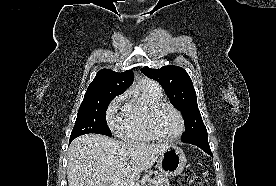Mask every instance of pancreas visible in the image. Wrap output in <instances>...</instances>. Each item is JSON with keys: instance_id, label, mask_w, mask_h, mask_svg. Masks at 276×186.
<instances>
[{"instance_id": "1", "label": "pancreas", "mask_w": 276, "mask_h": 186, "mask_svg": "<svg viewBox=\"0 0 276 186\" xmlns=\"http://www.w3.org/2000/svg\"><path fill=\"white\" fill-rule=\"evenodd\" d=\"M150 186H169V180L166 175L159 174L153 179Z\"/></svg>"}]
</instances>
